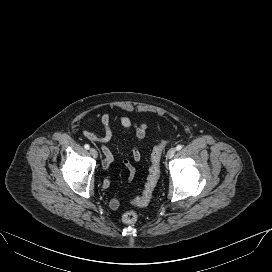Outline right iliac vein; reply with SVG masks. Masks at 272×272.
<instances>
[{
  "instance_id": "1",
  "label": "right iliac vein",
  "mask_w": 272,
  "mask_h": 272,
  "mask_svg": "<svg viewBox=\"0 0 272 272\" xmlns=\"http://www.w3.org/2000/svg\"><path fill=\"white\" fill-rule=\"evenodd\" d=\"M90 154H91L94 158H97V157H98V153H97L96 149H94V148H91V149H90Z\"/></svg>"
}]
</instances>
